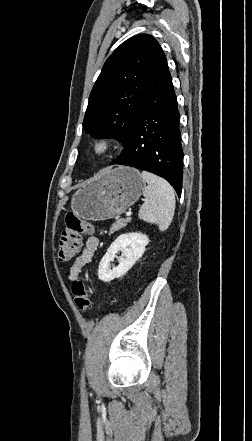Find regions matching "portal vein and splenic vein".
I'll list each match as a JSON object with an SVG mask.
<instances>
[{
	"mask_svg": "<svg viewBox=\"0 0 252 441\" xmlns=\"http://www.w3.org/2000/svg\"><path fill=\"white\" fill-rule=\"evenodd\" d=\"M131 215H132V212H131V211H128V212L126 213L127 218H129Z\"/></svg>",
	"mask_w": 252,
	"mask_h": 441,
	"instance_id": "18ae733b",
	"label": "portal vein and splenic vein"
}]
</instances>
